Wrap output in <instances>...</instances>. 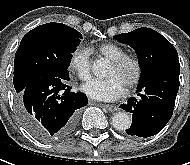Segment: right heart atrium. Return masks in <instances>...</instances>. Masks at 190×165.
I'll return each instance as SVG.
<instances>
[{
  "label": "right heart atrium",
  "instance_id": "obj_1",
  "mask_svg": "<svg viewBox=\"0 0 190 165\" xmlns=\"http://www.w3.org/2000/svg\"><path fill=\"white\" fill-rule=\"evenodd\" d=\"M68 68L79 80L87 82L91 78V60L89 51L85 48L74 50L70 55Z\"/></svg>",
  "mask_w": 190,
  "mask_h": 165
}]
</instances>
